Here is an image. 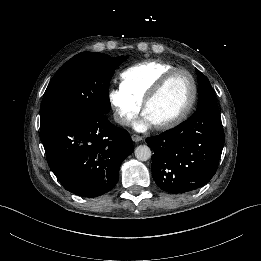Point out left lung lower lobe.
<instances>
[{"mask_svg": "<svg viewBox=\"0 0 261 261\" xmlns=\"http://www.w3.org/2000/svg\"><path fill=\"white\" fill-rule=\"evenodd\" d=\"M224 140L216 103L197 109L174 129L148 137L155 151L151 170L156 184L172 194L203 187L217 171Z\"/></svg>", "mask_w": 261, "mask_h": 261, "instance_id": "1", "label": "left lung lower lobe"}]
</instances>
